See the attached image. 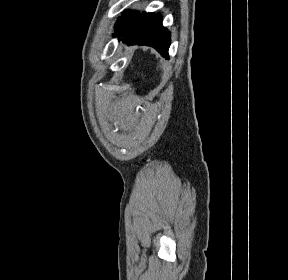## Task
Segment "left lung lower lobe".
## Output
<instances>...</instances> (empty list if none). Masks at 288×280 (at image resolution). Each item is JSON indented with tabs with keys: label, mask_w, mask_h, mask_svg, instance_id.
Masks as SVG:
<instances>
[{
	"label": "left lung lower lobe",
	"mask_w": 288,
	"mask_h": 280,
	"mask_svg": "<svg viewBox=\"0 0 288 280\" xmlns=\"http://www.w3.org/2000/svg\"><path fill=\"white\" fill-rule=\"evenodd\" d=\"M165 30L160 14L135 12L116 36L127 44L152 46L168 58L170 33Z\"/></svg>",
	"instance_id": "0a47b994"
}]
</instances>
